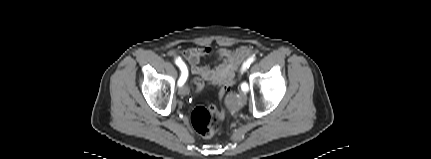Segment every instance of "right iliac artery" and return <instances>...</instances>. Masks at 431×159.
I'll use <instances>...</instances> for the list:
<instances>
[{"instance_id":"82829eb1","label":"right iliac artery","mask_w":431,"mask_h":159,"mask_svg":"<svg viewBox=\"0 0 431 159\" xmlns=\"http://www.w3.org/2000/svg\"><path fill=\"white\" fill-rule=\"evenodd\" d=\"M175 63L180 68V70L182 72L181 73V77L178 80V85L182 86L185 83L186 79H187L188 70H187L186 65L184 64V62L180 58H176Z\"/></svg>"}]
</instances>
